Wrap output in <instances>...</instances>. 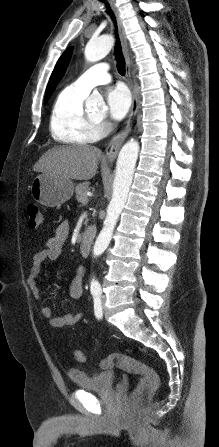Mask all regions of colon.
<instances>
[{
    "mask_svg": "<svg viewBox=\"0 0 219 447\" xmlns=\"http://www.w3.org/2000/svg\"><path fill=\"white\" fill-rule=\"evenodd\" d=\"M27 213L29 227L31 229L38 228L42 223V213L40 207L37 204H29ZM73 356L76 361L81 363H84L87 360L85 353L81 350H74ZM100 365L104 369L116 366L133 372L141 377L136 389L131 395L130 400L132 403L137 404L144 401L152 396L159 387L160 380L158 375L147 366L139 363L129 356L114 353L103 358Z\"/></svg>",
    "mask_w": 219,
    "mask_h": 447,
    "instance_id": "1",
    "label": "colon"
}]
</instances>
